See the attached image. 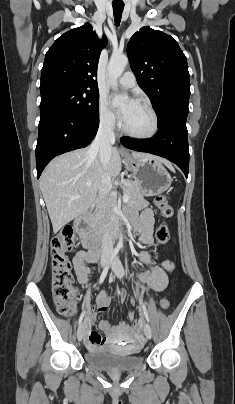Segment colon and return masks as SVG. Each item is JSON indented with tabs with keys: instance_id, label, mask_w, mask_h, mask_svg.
<instances>
[{
	"instance_id": "obj_1",
	"label": "colon",
	"mask_w": 235,
	"mask_h": 404,
	"mask_svg": "<svg viewBox=\"0 0 235 404\" xmlns=\"http://www.w3.org/2000/svg\"><path fill=\"white\" fill-rule=\"evenodd\" d=\"M155 203L164 220L157 228L155 236L158 244L165 245L170 238V230L166 221L173 216L174 211L165 195H158L155 198ZM75 242L76 234L70 226H65L51 241L53 299L57 311L65 317L71 316L75 309L76 294L72 287L73 275L67 256ZM168 306L169 299L167 297L162 298L160 308L165 310ZM133 325L137 328L140 322L135 320Z\"/></svg>"
}]
</instances>
